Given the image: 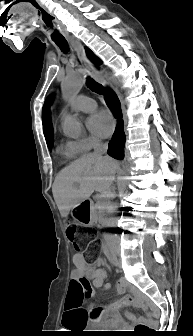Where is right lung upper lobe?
<instances>
[{"label": "right lung upper lobe", "mask_w": 193, "mask_h": 336, "mask_svg": "<svg viewBox=\"0 0 193 336\" xmlns=\"http://www.w3.org/2000/svg\"><path fill=\"white\" fill-rule=\"evenodd\" d=\"M94 63L97 64L96 62ZM42 122H43V132L46 141L52 140L53 128L50 120V115L48 112L43 113Z\"/></svg>", "instance_id": "obj_1"}]
</instances>
